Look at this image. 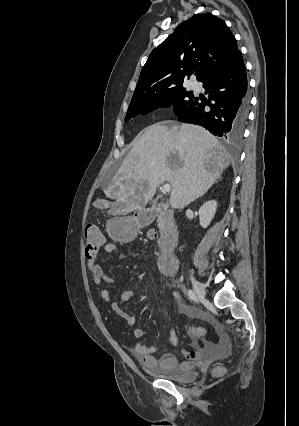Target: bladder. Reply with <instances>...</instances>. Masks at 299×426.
I'll use <instances>...</instances> for the list:
<instances>
[{
  "label": "bladder",
  "mask_w": 299,
  "mask_h": 426,
  "mask_svg": "<svg viewBox=\"0 0 299 426\" xmlns=\"http://www.w3.org/2000/svg\"><path fill=\"white\" fill-rule=\"evenodd\" d=\"M146 372L151 375L158 376L160 378L170 380L177 383H189L197 378V372L195 370H183V369H160L153 367H145Z\"/></svg>",
  "instance_id": "31cf9c89"
}]
</instances>
